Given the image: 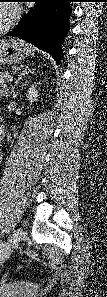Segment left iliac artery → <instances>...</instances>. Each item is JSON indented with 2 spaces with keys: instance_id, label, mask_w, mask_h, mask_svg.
<instances>
[{
  "instance_id": "obj_1",
  "label": "left iliac artery",
  "mask_w": 107,
  "mask_h": 297,
  "mask_svg": "<svg viewBox=\"0 0 107 297\" xmlns=\"http://www.w3.org/2000/svg\"><path fill=\"white\" fill-rule=\"evenodd\" d=\"M4 246H5L4 243L0 244V252L3 249Z\"/></svg>"
}]
</instances>
